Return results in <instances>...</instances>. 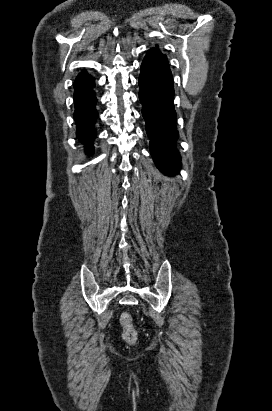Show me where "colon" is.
I'll return each instance as SVG.
<instances>
[{
	"mask_svg": "<svg viewBox=\"0 0 272 411\" xmlns=\"http://www.w3.org/2000/svg\"><path fill=\"white\" fill-rule=\"evenodd\" d=\"M120 322L123 326V340L129 345H135L138 340V332L133 325L131 315L126 312L122 313L120 316Z\"/></svg>",
	"mask_w": 272,
	"mask_h": 411,
	"instance_id": "1",
	"label": "colon"
}]
</instances>
